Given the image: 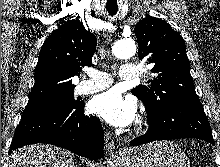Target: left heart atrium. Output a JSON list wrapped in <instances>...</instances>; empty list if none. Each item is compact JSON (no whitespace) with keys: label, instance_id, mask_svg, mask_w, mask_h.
Instances as JSON below:
<instances>
[{"label":"left heart atrium","instance_id":"obj_1","mask_svg":"<svg viewBox=\"0 0 220 167\" xmlns=\"http://www.w3.org/2000/svg\"><path fill=\"white\" fill-rule=\"evenodd\" d=\"M91 111L107 123L125 127L136 116V104L131 98H124L118 91L109 90L95 96L90 102Z\"/></svg>","mask_w":220,"mask_h":167}]
</instances>
